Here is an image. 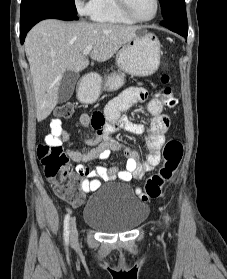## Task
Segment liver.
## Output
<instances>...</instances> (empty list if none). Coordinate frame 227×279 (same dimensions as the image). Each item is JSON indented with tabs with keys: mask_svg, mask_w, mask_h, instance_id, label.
<instances>
[{
	"mask_svg": "<svg viewBox=\"0 0 227 279\" xmlns=\"http://www.w3.org/2000/svg\"><path fill=\"white\" fill-rule=\"evenodd\" d=\"M141 27L86 21L66 23L43 20L27 34L25 52L30 65L38 122L46 119L58 102V90L65 71L84 70L89 61L83 55L88 45L97 62L109 60L133 39Z\"/></svg>",
	"mask_w": 227,
	"mask_h": 279,
	"instance_id": "6515ba94",
	"label": "liver"
}]
</instances>
